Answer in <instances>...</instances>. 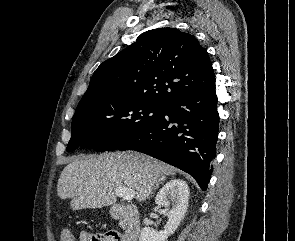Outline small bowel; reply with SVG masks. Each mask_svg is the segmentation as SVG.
<instances>
[{
  "label": "small bowel",
  "mask_w": 295,
  "mask_h": 241,
  "mask_svg": "<svg viewBox=\"0 0 295 241\" xmlns=\"http://www.w3.org/2000/svg\"><path fill=\"white\" fill-rule=\"evenodd\" d=\"M80 241H124V238L117 232L113 231L105 234L84 231L80 234Z\"/></svg>",
  "instance_id": "c3829d8e"
}]
</instances>
